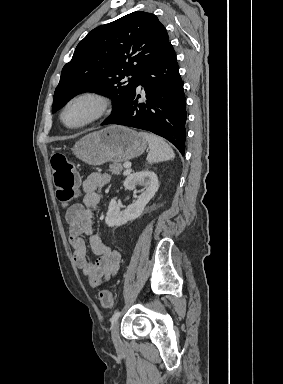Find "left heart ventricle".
I'll list each match as a JSON object with an SVG mask.
<instances>
[{
  "mask_svg": "<svg viewBox=\"0 0 283 384\" xmlns=\"http://www.w3.org/2000/svg\"><path fill=\"white\" fill-rule=\"evenodd\" d=\"M94 105L91 101L80 100L73 103L66 111L64 119L68 125H77L87 120L93 113Z\"/></svg>",
  "mask_w": 283,
  "mask_h": 384,
  "instance_id": "1",
  "label": "left heart ventricle"
}]
</instances>
